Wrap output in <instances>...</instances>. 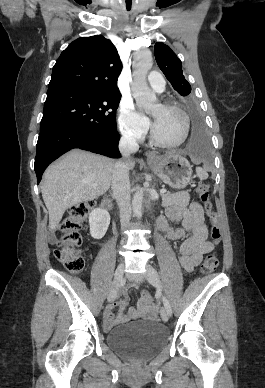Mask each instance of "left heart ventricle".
<instances>
[{"label":"left heart ventricle","mask_w":265,"mask_h":388,"mask_svg":"<svg viewBox=\"0 0 265 388\" xmlns=\"http://www.w3.org/2000/svg\"><path fill=\"white\" fill-rule=\"evenodd\" d=\"M148 87L149 91H157L154 90L153 86L148 85ZM150 114L153 116L157 131L163 139L176 141L180 137L182 118L178 113L165 109L159 104Z\"/></svg>","instance_id":"obj_1"}]
</instances>
